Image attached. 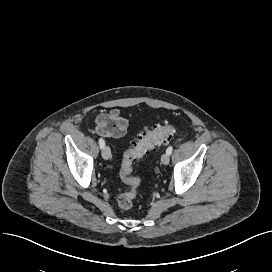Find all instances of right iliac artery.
I'll use <instances>...</instances> for the list:
<instances>
[{
  "label": "right iliac artery",
  "mask_w": 272,
  "mask_h": 272,
  "mask_svg": "<svg viewBox=\"0 0 272 272\" xmlns=\"http://www.w3.org/2000/svg\"><path fill=\"white\" fill-rule=\"evenodd\" d=\"M104 145H105V141L102 138H100L99 139V146H100V148L102 149L104 147Z\"/></svg>",
  "instance_id": "1"
}]
</instances>
